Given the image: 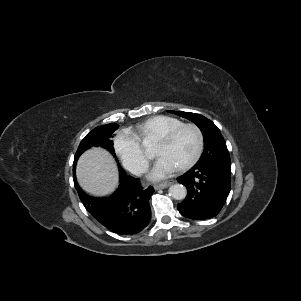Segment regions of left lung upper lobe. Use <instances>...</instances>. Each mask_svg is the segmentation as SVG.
Instances as JSON below:
<instances>
[{
  "mask_svg": "<svg viewBox=\"0 0 301 301\" xmlns=\"http://www.w3.org/2000/svg\"><path fill=\"white\" fill-rule=\"evenodd\" d=\"M194 122L202 131L204 151L196 165L225 164L231 166L226 142L217 126L206 117L183 111H169Z\"/></svg>",
  "mask_w": 301,
  "mask_h": 301,
  "instance_id": "5c2ea615",
  "label": "left lung upper lobe"
}]
</instances>
